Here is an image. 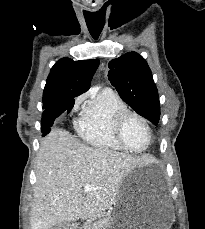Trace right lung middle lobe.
<instances>
[{"label":"right lung middle lobe","instance_id":"1","mask_svg":"<svg viewBox=\"0 0 205 229\" xmlns=\"http://www.w3.org/2000/svg\"><path fill=\"white\" fill-rule=\"evenodd\" d=\"M51 106H52V105H51ZM48 107H50V106H48ZM48 107H44V106H43V109H47Z\"/></svg>","mask_w":205,"mask_h":229}]
</instances>
